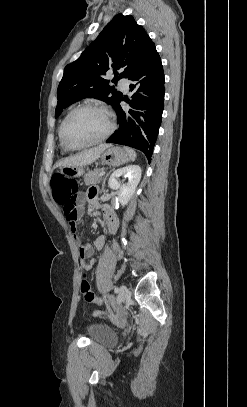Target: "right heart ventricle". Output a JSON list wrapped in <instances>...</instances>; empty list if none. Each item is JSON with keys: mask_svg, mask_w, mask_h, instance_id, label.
<instances>
[{"mask_svg": "<svg viewBox=\"0 0 247 407\" xmlns=\"http://www.w3.org/2000/svg\"><path fill=\"white\" fill-rule=\"evenodd\" d=\"M59 130H60V126L58 128V137H59ZM59 146L62 152H67L68 150H66L63 145L61 144L60 138H59Z\"/></svg>", "mask_w": 247, "mask_h": 407, "instance_id": "e07e8e85", "label": "right heart ventricle"}]
</instances>
